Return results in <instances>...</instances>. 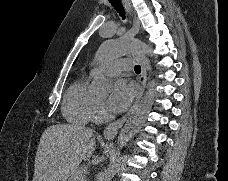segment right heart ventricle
<instances>
[{"label": "right heart ventricle", "instance_id": "right-heart-ventricle-1", "mask_svg": "<svg viewBox=\"0 0 228 181\" xmlns=\"http://www.w3.org/2000/svg\"><path fill=\"white\" fill-rule=\"evenodd\" d=\"M94 76L95 72L91 69L79 72L67 91L63 113L69 121L85 123L93 118L98 103V99L91 88Z\"/></svg>", "mask_w": 228, "mask_h": 181}]
</instances>
